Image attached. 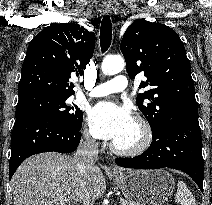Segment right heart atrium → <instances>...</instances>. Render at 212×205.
Listing matches in <instances>:
<instances>
[{
	"label": "right heart atrium",
	"mask_w": 212,
	"mask_h": 205,
	"mask_svg": "<svg viewBox=\"0 0 212 205\" xmlns=\"http://www.w3.org/2000/svg\"><path fill=\"white\" fill-rule=\"evenodd\" d=\"M83 140L89 145H95V139L92 136L91 132L88 129L83 131Z\"/></svg>",
	"instance_id": "d8ad5b80"
}]
</instances>
